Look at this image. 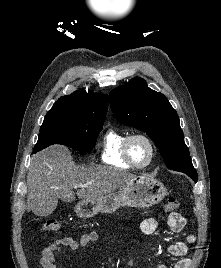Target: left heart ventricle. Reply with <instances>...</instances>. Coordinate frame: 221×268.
I'll list each match as a JSON object with an SVG mask.
<instances>
[{
    "mask_svg": "<svg viewBox=\"0 0 221 268\" xmlns=\"http://www.w3.org/2000/svg\"><path fill=\"white\" fill-rule=\"evenodd\" d=\"M149 147L142 139H135L130 144V155L137 164H144L149 158Z\"/></svg>",
    "mask_w": 221,
    "mask_h": 268,
    "instance_id": "left-heart-ventricle-1",
    "label": "left heart ventricle"
}]
</instances>
